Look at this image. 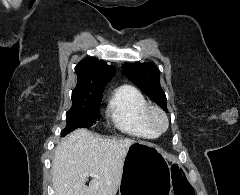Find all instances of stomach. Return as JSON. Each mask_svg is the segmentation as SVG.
Here are the masks:
<instances>
[{
  "label": "stomach",
  "instance_id": "obj_1",
  "mask_svg": "<svg viewBox=\"0 0 240 195\" xmlns=\"http://www.w3.org/2000/svg\"><path fill=\"white\" fill-rule=\"evenodd\" d=\"M118 195H171L170 165L161 147L149 141L131 143Z\"/></svg>",
  "mask_w": 240,
  "mask_h": 195
}]
</instances>
